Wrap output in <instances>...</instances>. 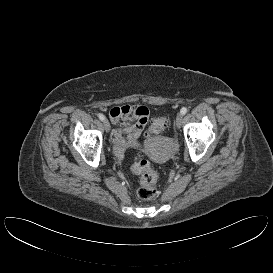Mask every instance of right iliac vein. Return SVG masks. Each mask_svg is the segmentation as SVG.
Listing matches in <instances>:
<instances>
[{"mask_svg":"<svg viewBox=\"0 0 273 273\" xmlns=\"http://www.w3.org/2000/svg\"><path fill=\"white\" fill-rule=\"evenodd\" d=\"M104 129L106 132H109L111 129L110 123L107 120L103 121Z\"/></svg>","mask_w":273,"mask_h":273,"instance_id":"obj_1","label":"right iliac vein"}]
</instances>
